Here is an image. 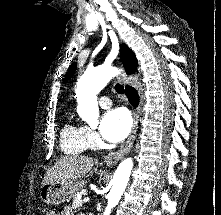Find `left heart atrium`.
Segmentation results:
<instances>
[{
  "label": "left heart atrium",
  "mask_w": 221,
  "mask_h": 215,
  "mask_svg": "<svg viewBox=\"0 0 221 215\" xmlns=\"http://www.w3.org/2000/svg\"><path fill=\"white\" fill-rule=\"evenodd\" d=\"M131 129V119L125 109L117 108L108 111L100 125L102 137L109 142L123 140Z\"/></svg>",
  "instance_id": "39dd6f15"
}]
</instances>
